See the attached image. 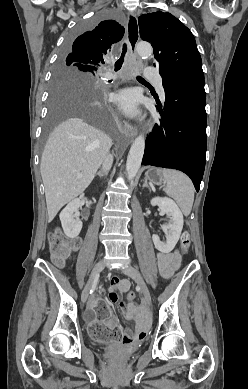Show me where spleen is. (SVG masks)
Instances as JSON below:
<instances>
[{"label":"spleen","instance_id":"1","mask_svg":"<svg viewBox=\"0 0 248 389\" xmlns=\"http://www.w3.org/2000/svg\"><path fill=\"white\" fill-rule=\"evenodd\" d=\"M165 192L172 197L182 213L188 216L194 202V186L190 178L184 173L174 170H163Z\"/></svg>","mask_w":248,"mask_h":389}]
</instances>
